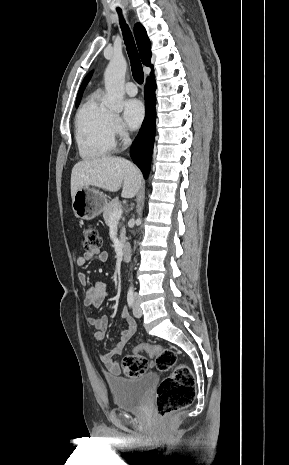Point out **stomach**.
Listing matches in <instances>:
<instances>
[{
    "label": "stomach",
    "mask_w": 289,
    "mask_h": 465,
    "mask_svg": "<svg viewBox=\"0 0 289 465\" xmlns=\"http://www.w3.org/2000/svg\"><path fill=\"white\" fill-rule=\"evenodd\" d=\"M107 205L106 196L92 188L79 189L72 199V209L76 217L92 220L99 216Z\"/></svg>",
    "instance_id": "stomach-1"
}]
</instances>
